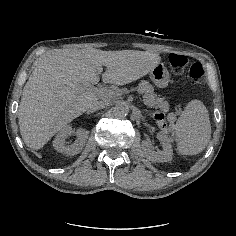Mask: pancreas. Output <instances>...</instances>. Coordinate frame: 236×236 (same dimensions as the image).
Returning a JSON list of instances; mask_svg holds the SVG:
<instances>
[{
	"label": "pancreas",
	"instance_id": "pancreas-1",
	"mask_svg": "<svg viewBox=\"0 0 236 236\" xmlns=\"http://www.w3.org/2000/svg\"><path fill=\"white\" fill-rule=\"evenodd\" d=\"M108 91V90H106ZM136 91L139 94H143L145 91H148L143 95L144 104L150 108H159L166 103V100L163 97H157L154 93V89L152 85H150L146 81H142L139 86L136 88ZM127 90H112L108 91V93L103 97L107 102H110L112 99L124 98L127 95Z\"/></svg>",
	"mask_w": 236,
	"mask_h": 236
}]
</instances>
